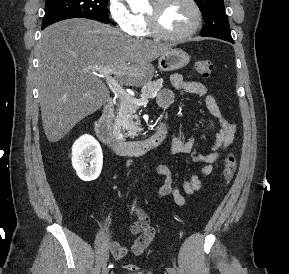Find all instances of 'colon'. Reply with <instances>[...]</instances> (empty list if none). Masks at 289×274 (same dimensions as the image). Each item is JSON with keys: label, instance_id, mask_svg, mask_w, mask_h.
<instances>
[{"label": "colon", "instance_id": "5ec220e1", "mask_svg": "<svg viewBox=\"0 0 289 274\" xmlns=\"http://www.w3.org/2000/svg\"><path fill=\"white\" fill-rule=\"evenodd\" d=\"M214 69L213 62L209 59L198 60L195 63V70L199 76L202 78H208L211 76ZM237 169V159L234 153H228L223 161V181L225 184H228L234 177ZM125 268L129 271L135 272L138 270L136 264H127Z\"/></svg>", "mask_w": 289, "mask_h": 274}]
</instances>
